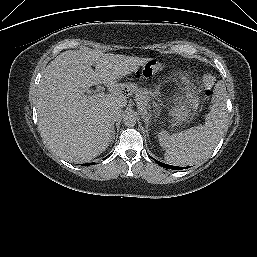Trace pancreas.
<instances>
[{"label":"pancreas","instance_id":"cf45deb5","mask_svg":"<svg viewBox=\"0 0 257 257\" xmlns=\"http://www.w3.org/2000/svg\"><path fill=\"white\" fill-rule=\"evenodd\" d=\"M128 87V86H127ZM137 106L143 109H149L150 101L152 99L153 93L148 89L135 88Z\"/></svg>","mask_w":257,"mask_h":257}]
</instances>
